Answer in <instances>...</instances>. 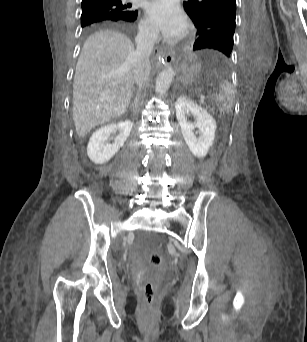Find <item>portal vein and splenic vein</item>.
<instances>
[{
    "label": "portal vein and splenic vein",
    "instance_id": "portal-vein-and-splenic-vein-1",
    "mask_svg": "<svg viewBox=\"0 0 307 342\" xmlns=\"http://www.w3.org/2000/svg\"><path fill=\"white\" fill-rule=\"evenodd\" d=\"M107 76H111V74H104L103 78H107ZM203 94L204 93L202 91L198 92V95H199V98H200L199 100L202 101V102L205 100L204 99L205 96Z\"/></svg>",
    "mask_w": 307,
    "mask_h": 342
}]
</instances>
